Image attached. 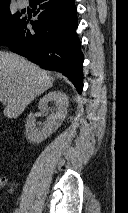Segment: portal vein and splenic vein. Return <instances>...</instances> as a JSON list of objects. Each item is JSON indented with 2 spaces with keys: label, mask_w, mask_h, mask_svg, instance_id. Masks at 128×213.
<instances>
[{
  "label": "portal vein and splenic vein",
  "mask_w": 128,
  "mask_h": 213,
  "mask_svg": "<svg viewBox=\"0 0 128 213\" xmlns=\"http://www.w3.org/2000/svg\"><path fill=\"white\" fill-rule=\"evenodd\" d=\"M0 101H4V99L2 97H0Z\"/></svg>",
  "instance_id": "1"
}]
</instances>
